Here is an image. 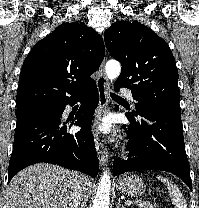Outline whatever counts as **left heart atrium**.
Here are the masks:
<instances>
[{"mask_svg":"<svg viewBox=\"0 0 199 208\" xmlns=\"http://www.w3.org/2000/svg\"><path fill=\"white\" fill-rule=\"evenodd\" d=\"M94 131L98 133H105L109 129V125L104 120L100 119L92 125Z\"/></svg>","mask_w":199,"mask_h":208,"instance_id":"left-heart-atrium-1","label":"left heart atrium"}]
</instances>
